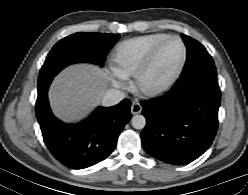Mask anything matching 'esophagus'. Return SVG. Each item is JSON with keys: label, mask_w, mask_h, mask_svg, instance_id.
<instances>
[{"label": "esophagus", "mask_w": 248, "mask_h": 195, "mask_svg": "<svg viewBox=\"0 0 248 195\" xmlns=\"http://www.w3.org/2000/svg\"><path fill=\"white\" fill-rule=\"evenodd\" d=\"M142 111V106L139 102L133 101L131 105V113L133 115L139 114Z\"/></svg>", "instance_id": "obj_1"}]
</instances>
